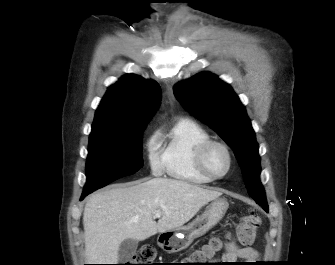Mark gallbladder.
Returning <instances> with one entry per match:
<instances>
[{
    "label": "gallbladder",
    "instance_id": "obj_1",
    "mask_svg": "<svg viewBox=\"0 0 335 265\" xmlns=\"http://www.w3.org/2000/svg\"><path fill=\"white\" fill-rule=\"evenodd\" d=\"M138 247V241L136 239H126L124 240L118 250V260L120 262H127L136 253Z\"/></svg>",
    "mask_w": 335,
    "mask_h": 265
}]
</instances>
